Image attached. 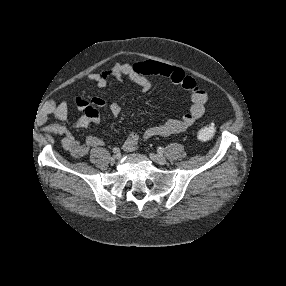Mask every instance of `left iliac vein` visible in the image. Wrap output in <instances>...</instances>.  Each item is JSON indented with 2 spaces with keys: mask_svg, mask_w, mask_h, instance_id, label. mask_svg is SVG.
<instances>
[{
  "mask_svg": "<svg viewBox=\"0 0 286 286\" xmlns=\"http://www.w3.org/2000/svg\"><path fill=\"white\" fill-rule=\"evenodd\" d=\"M150 158L152 161L158 163V164H166L167 163V160L164 156L162 155H159V154H154V153H151L150 155Z\"/></svg>",
  "mask_w": 286,
  "mask_h": 286,
  "instance_id": "1",
  "label": "left iliac vein"
}]
</instances>
